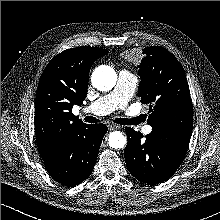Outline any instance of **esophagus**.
Returning <instances> with one entry per match:
<instances>
[{"mask_svg": "<svg viewBox=\"0 0 220 220\" xmlns=\"http://www.w3.org/2000/svg\"><path fill=\"white\" fill-rule=\"evenodd\" d=\"M119 128V126L118 125H116V124H109L108 125V129L111 131V130H115V129H118Z\"/></svg>", "mask_w": 220, "mask_h": 220, "instance_id": "1", "label": "esophagus"}]
</instances>
